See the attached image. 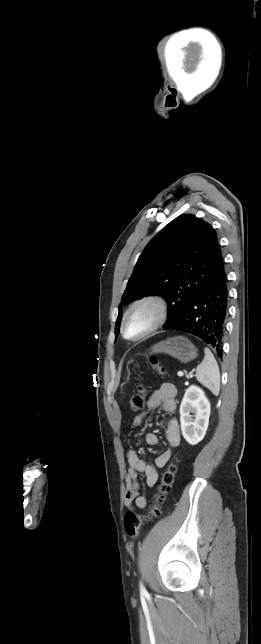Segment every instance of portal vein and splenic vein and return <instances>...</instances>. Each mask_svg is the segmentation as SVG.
Returning a JSON list of instances; mask_svg holds the SVG:
<instances>
[{"label": "portal vein and splenic vein", "instance_id": "18ae733b", "mask_svg": "<svg viewBox=\"0 0 261 644\" xmlns=\"http://www.w3.org/2000/svg\"><path fill=\"white\" fill-rule=\"evenodd\" d=\"M177 375H178L179 377H182V376H184V373H183L182 371H178ZM190 376H192V375H190Z\"/></svg>", "mask_w": 261, "mask_h": 644}]
</instances>
